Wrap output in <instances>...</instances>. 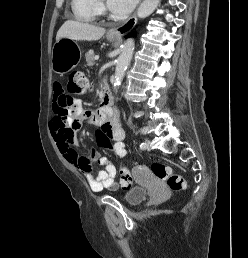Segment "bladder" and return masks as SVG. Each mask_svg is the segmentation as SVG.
Masks as SVG:
<instances>
[{"instance_id": "31cf9c89", "label": "bladder", "mask_w": 248, "mask_h": 258, "mask_svg": "<svg viewBox=\"0 0 248 258\" xmlns=\"http://www.w3.org/2000/svg\"><path fill=\"white\" fill-rule=\"evenodd\" d=\"M148 196V191L141 187H132L123 196L125 202L129 205H138Z\"/></svg>"}]
</instances>
